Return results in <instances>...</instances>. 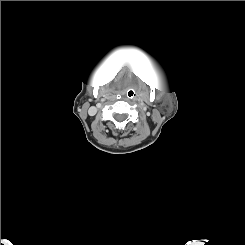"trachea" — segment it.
<instances>
[{
  "label": "trachea",
  "instance_id": "trachea-1",
  "mask_svg": "<svg viewBox=\"0 0 245 245\" xmlns=\"http://www.w3.org/2000/svg\"><path fill=\"white\" fill-rule=\"evenodd\" d=\"M126 95L128 98H134L136 95V92L133 88H130L127 90Z\"/></svg>",
  "mask_w": 245,
  "mask_h": 245
}]
</instances>
